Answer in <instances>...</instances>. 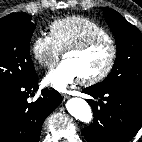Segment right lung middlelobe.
<instances>
[{
  "instance_id": "dd1d6c3e",
  "label": "right lung middle lobe",
  "mask_w": 142,
  "mask_h": 142,
  "mask_svg": "<svg viewBox=\"0 0 142 142\" xmlns=\"http://www.w3.org/2000/svg\"><path fill=\"white\" fill-rule=\"evenodd\" d=\"M34 29L27 14L14 13L0 19V93L37 76L29 46Z\"/></svg>"
}]
</instances>
